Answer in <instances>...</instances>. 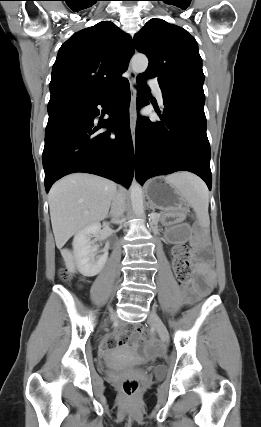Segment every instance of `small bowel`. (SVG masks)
<instances>
[{"mask_svg":"<svg viewBox=\"0 0 261 427\" xmlns=\"http://www.w3.org/2000/svg\"><path fill=\"white\" fill-rule=\"evenodd\" d=\"M203 288V284L202 283H199V284H197V285H195L192 289H191V291H190V293L192 294V295H194V294H196L199 290H201ZM123 343V338H122V334L121 333H119L118 335H110V336H108L107 337V339H106V341H105V345L108 347V348H114V347H117V346H119V345H121ZM131 344H132V346H136L137 344H136V340H135V338L133 337L132 338V340H131ZM155 348H156V346H155V344H150L149 346H148V348H147V352L148 353H153L154 351H155Z\"/></svg>","mask_w":261,"mask_h":427,"instance_id":"small-bowel-1","label":"small bowel"}]
</instances>
